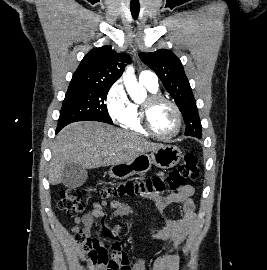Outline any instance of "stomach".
Here are the masks:
<instances>
[{"mask_svg": "<svg viewBox=\"0 0 267 270\" xmlns=\"http://www.w3.org/2000/svg\"><path fill=\"white\" fill-rule=\"evenodd\" d=\"M181 157L182 152L177 146L161 144L150 154L143 153L129 162L113 165L109 170V175L116 179H126L148 171L152 165L168 169L174 167Z\"/></svg>", "mask_w": 267, "mask_h": 270, "instance_id": "1", "label": "stomach"}]
</instances>
